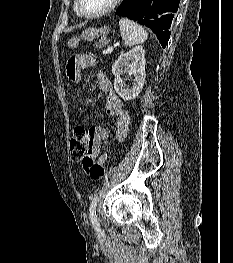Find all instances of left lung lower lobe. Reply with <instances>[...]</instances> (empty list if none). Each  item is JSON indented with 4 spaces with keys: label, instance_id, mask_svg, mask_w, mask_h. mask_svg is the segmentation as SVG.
I'll return each mask as SVG.
<instances>
[{
    "label": "left lung lower lobe",
    "instance_id": "0a47b994",
    "mask_svg": "<svg viewBox=\"0 0 233 263\" xmlns=\"http://www.w3.org/2000/svg\"><path fill=\"white\" fill-rule=\"evenodd\" d=\"M179 3L180 0H123L116 14L151 28L165 48L171 34L169 28Z\"/></svg>",
    "mask_w": 233,
    "mask_h": 263
}]
</instances>
